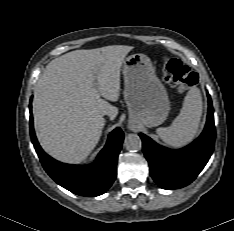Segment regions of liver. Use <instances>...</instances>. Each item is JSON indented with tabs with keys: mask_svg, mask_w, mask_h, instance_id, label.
<instances>
[{
	"mask_svg": "<svg viewBox=\"0 0 234 231\" xmlns=\"http://www.w3.org/2000/svg\"><path fill=\"white\" fill-rule=\"evenodd\" d=\"M132 49L75 50L46 66L34 90L33 115L40 145L52 157L77 164L97 145L103 116L114 119L118 114L106 100H118L121 66Z\"/></svg>",
	"mask_w": 234,
	"mask_h": 231,
	"instance_id": "1",
	"label": "liver"
}]
</instances>
